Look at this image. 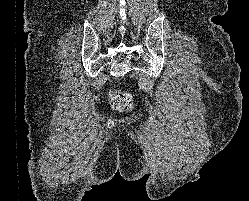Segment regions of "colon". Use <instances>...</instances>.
<instances>
[{
    "mask_svg": "<svg viewBox=\"0 0 249 201\" xmlns=\"http://www.w3.org/2000/svg\"><path fill=\"white\" fill-rule=\"evenodd\" d=\"M109 104L116 110L126 111L132 107V97L125 92L114 91L108 95Z\"/></svg>",
    "mask_w": 249,
    "mask_h": 201,
    "instance_id": "1",
    "label": "colon"
}]
</instances>
